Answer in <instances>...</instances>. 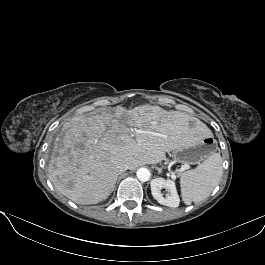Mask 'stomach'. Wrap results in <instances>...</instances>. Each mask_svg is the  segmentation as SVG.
I'll use <instances>...</instances> for the list:
<instances>
[{
    "label": "stomach",
    "mask_w": 265,
    "mask_h": 265,
    "mask_svg": "<svg viewBox=\"0 0 265 265\" xmlns=\"http://www.w3.org/2000/svg\"><path fill=\"white\" fill-rule=\"evenodd\" d=\"M214 150L213 140L204 136L198 141H193L176 149L174 158L180 163L197 164L211 155Z\"/></svg>",
    "instance_id": "0dacf381"
}]
</instances>
